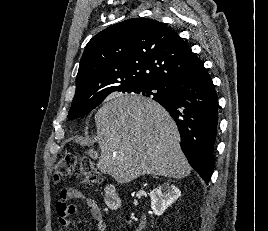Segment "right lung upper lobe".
Instances as JSON below:
<instances>
[{
    "mask_svg": "<svg viewBox=\"0 0 268 231\" xmlns=\"http://www.w3.org/2000/svg\"><path fill=\"white\" fill-rule=\"evenodd\" d=\"M203 68L191 47L164 23L128 19L104 29L86 45L73 103L89 105L132 86L166 87Z\"/></svg>",
    "mask_w": 268,
    "mask_h": 231,
    "instance_id": "1",
    "label": "right lung upper lobe"
}]
</instances>
